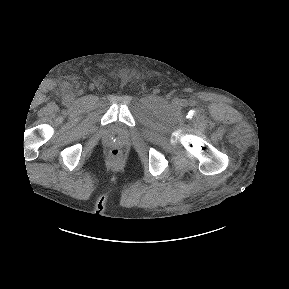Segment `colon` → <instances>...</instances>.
I'll return each instance as SVG.
<instances>
[{
	"instance_id": "obj_1",
	"label": "colon",
	"mask_w": 289,
	"mask_h": 289,
	"mask_svg": "<svg viewBox=\"0 0 289 289\" xmlns=\"http://www.w3.org/2000/svg\"><path fill=\"white\" fill-rule=\"evenodd\" d=\"M109 155L113 160H119L121 158L122 152L118 148H113L110 150Z\"/></svg>"
}]
</instances>
